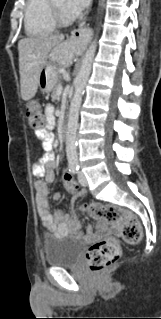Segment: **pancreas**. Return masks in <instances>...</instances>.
Masks as SVG:
<instances>
[{
	"instance_id": "pancreas-1",
	"label": "pancreas",
	"mask_w": 161,
	"mask_h": 319,
	"mask_svg": "<svg viewBox=\"0 0 161 319\" xmlns=\"http://www.w3.org/2000/svg\"><path fill=\"white\" fill-rule=\"evenodd\" d=\"M61 86V82H60V80L58 79V81H57V83L55 84V86L53 87V89H52V95H51V97H52V99H57L58 98V95H57V90H58V88Z\"/></svg>"
}]
</instances>
